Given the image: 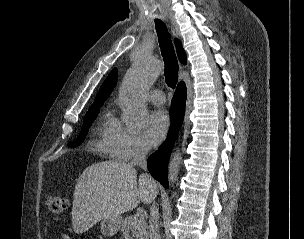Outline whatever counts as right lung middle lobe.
Returning <instances> with one entry per match:
<instances>
[{"mask_svg":"<svg viewBox=\"0 0 304 239\" xmlns=\"http://www.w3.org/2000/svg\"><path fill=\"white\" fill-rule=\"evenodd\" d=\"M99 108L100 107L90 108L88 110V112L86 113V117L84 119L83 126H82V129H81V132H80L78 138L74 142L69 143L68 146L76 147L83 142V140L85 139V137L87 135L88 128L90 127L93 120L95 119V117L99 113Z\"/></svg>","mask_w":304,"mask_h":239,"instance_id":"obj_1","label":"right lung middle lobe"}]
</instances>
